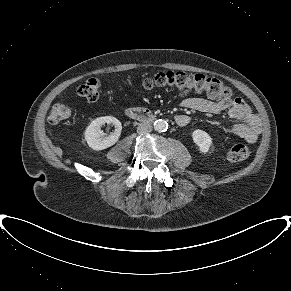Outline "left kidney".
I'll list each match as a JSON object with an SVG mask.
<instances>
[{
	"label": "left kidney",
	"mask_w": 291,
	"mask_h": 291,
	"mask_svg": "<svg viewBox=\"0 0 291 291\" xmlns=\"http://www.w3.org/2000/svg\"><path fill=\"white\" fill-rule=\"evenodd\" d=\"M192 138L200 152L207 153L209 151V148L212 145V138L207 132L200 129L194 130Z\"/></svg>",
	"instance_id": "left-kidney-1"
}]
</instances>
